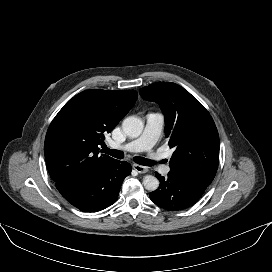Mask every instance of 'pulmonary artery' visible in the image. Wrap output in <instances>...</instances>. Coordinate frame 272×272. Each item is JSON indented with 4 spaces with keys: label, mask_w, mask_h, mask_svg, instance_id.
<instances>
[{
    "label": "pulmonary artery",
    "mask_w": 272,
    "mask_h": 272,
    "mask_svg": "<svg viewBox=\"0 0 272 272\" xmlns=\"http://www.w3.org/2000/svg\"><path fill=\"white\" fill-rule=\"evenodd\" d=\"M163 126L164 116L160 113H150L146 118L145 129L138 138L123 145H115V147L129 152L145 151L148 153L150 160L153 161L155 165H158L160 155L153 152V147L162 133ZM162 171L166 173L169 171V168L162 167Z\"/></svg>",
    "instance_id": "pulmonary-artery-1"
}]
</instances>
